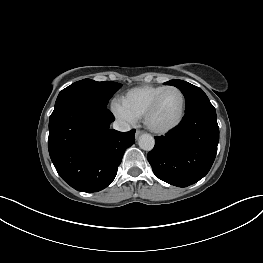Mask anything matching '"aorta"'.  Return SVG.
<instances>
[{
	"label": "aorta",
	"mask_w": 263,
	"mask_h": 263,
	"mask_svg": "<svg viewBox=\"0 0 263 263\" xmlns=\"http://www.w3.org/2000/svg\"><path fill=\"white\" fill-rule=\"evenodd\" d=\"M155 145V140L150 134H142L139 138V146L141 149L150 151Z\"/></svg>",
	"instance_id": "1"
}]
</instances>
